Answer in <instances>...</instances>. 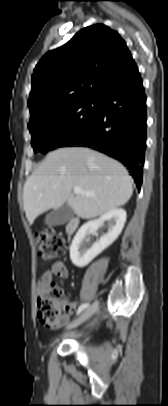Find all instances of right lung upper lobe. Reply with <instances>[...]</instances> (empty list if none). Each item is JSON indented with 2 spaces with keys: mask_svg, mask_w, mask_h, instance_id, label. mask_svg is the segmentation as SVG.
Returning a JSON list of instances; mask_svg holds the SVG:
<instances>
[{
  "mask_svg": "<svg viewBox=\"0 0 168 406\" xmlns=\"http://www.w3.org/2000/svg\"><path fill=\"white\" fill-rule=\"evenodd\" d=\"M138 74L125 41L103 24L86 27L49 51L32 75L29 123L53 115Z\"/></svg>",
  "mask_w": 168,
  "mask_h": 406,
  "instance_id": "right-lung-upper-lobe-1",
  "label": "right lung upper lobe"
}]
</instances>
